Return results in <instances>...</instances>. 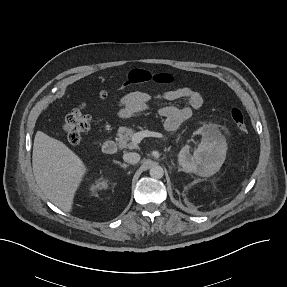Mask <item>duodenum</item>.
I'll return each mask as SVG.
<instances>
[{"label":"duodenum","mask_w":287,"mask_h":287,"mask_svg":"<svg viewBox=\"0 0 287 287\" xmlns=\"http://www.w3.org/2000/svg\"><path fill=\"white\" fill-rule=\"evenodd\" d=\"M103 152L108 155L115 154L117 152V145L113 140H107L103 144Z\"/></svg>","instance_id":"1"}]
</instances>
